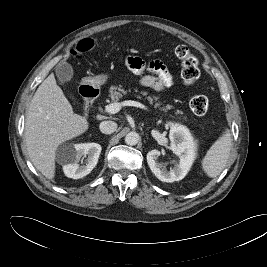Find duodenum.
<instances>
[{"mask_svg": "<svg viewBox=\"0 0 267 267\" xmlns=\"http://www.w3.org/2000/svg\"><path fill=\"white\" fill-rule=\"evenodd\" d=\"M80 92L84 97L86 107H88L89 104L94 102L99 95V89L92 84L82 85L80 88Z\"/></svg>", "mask_w": 267, "mask_h": 267, "instance_id": "410a0bca", "label": "duodenum"}]
</instances>
